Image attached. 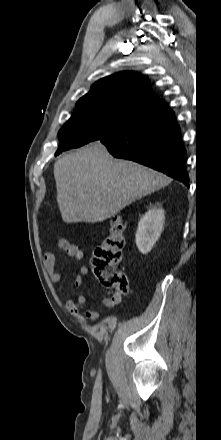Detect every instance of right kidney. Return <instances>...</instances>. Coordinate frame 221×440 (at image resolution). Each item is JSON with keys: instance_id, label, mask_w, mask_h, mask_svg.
I'll return each instance as SVG.
<instances>
[{"instance_id": "right-kidney-1", "label": "right kidney", "mask_w": 221, "mask_h": 440, "mask_svg": "<svg viewBox=\"0 0 221 440\" xmlns=\"http://www.w3.org/2000/svg\"><path fill=\"white\" fill-rule=\"evenodd\" d=\"M165 212L161 208L150 209L140 219L136 232V245L142 254L151 251L163 230Z\"/></svg>"}]
</instances>
